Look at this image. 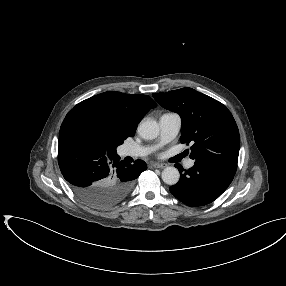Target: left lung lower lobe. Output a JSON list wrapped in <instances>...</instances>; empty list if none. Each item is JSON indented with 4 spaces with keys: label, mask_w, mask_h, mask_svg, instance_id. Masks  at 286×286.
<instances>
[{
    "label": "left lung lower lobe",
    "mask_w": 286,
    "mask_h": 286,
    "mask_svg": "<svg viewBox=\"0 0 286 286\" xmlns=\"http://www.w3.org/2000/svg\"><path fill=\"white\" fill-rule=\"evenodd\" d=\"M180 180L169 188L173 196L188 206H203L217 199L230 185L234 175L217 167L195 164L185 170L175 165Z\"/></svg>",
    "instance_id": "left-lung-lower-lobe-1"
}]
</instances>
